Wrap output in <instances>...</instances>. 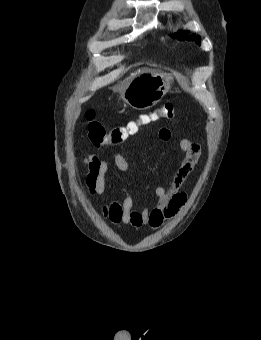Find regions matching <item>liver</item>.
<instances>
[{
	"label": "liver",
	"mask_w": 261,
	"mask_h": 340,
	"mask_svg": "<svg viewBox=\"0 0 261 340\" xmlns=\"http://www.w3.org/2000/svg\"><path fill=\"white\" fill-rule=\"evenodd\" d=\"M145 71H146V70L143 69V70H138L137 72L132 73V74L130 75V77H128L127 79H125V81H124L123 84H122V87L125 86V85H127L134 77H136L137 75H139V74H141V73H143V72H145Z\"/></svg>",
	"instance_id": "6515ba94"
}]
</instances>
